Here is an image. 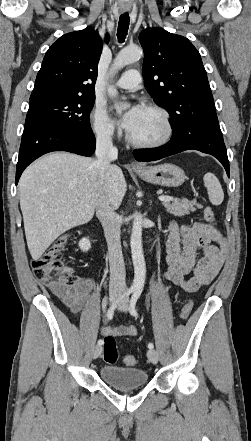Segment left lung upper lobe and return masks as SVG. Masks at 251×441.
Instances as JSON below:
<instances>
[{"mask_svg": "<svg viewBox=\"0 0 251 441\" xmlns=\"http://www.w3.org/2000/svg\"><path fill=\"white\" fill-rule=\"evenodd\" d=\"M144 49V85L170 115L173 130L193 115L217 116L201 57L185 37L160 28L139 35Z\"/></svg>", "mask_w": 251, "mask_h": 441, "instance_id": "5c2ea615", "label": "left lung upper lobe"}]
</instances>
